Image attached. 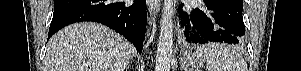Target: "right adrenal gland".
<instances>
[{
	"label": "right adrenal gland",
	"instance_id": "right-adrenal-gland-1",
	"mask_svg": "<svg viewBox=\"0 0 301 71\" xmlns=\"http://www.w3.org/2000/svg\"><path fill=\"white\" fill-rule=\"evenodd\" d=\"M129 68H130V66L128 65V66L126 67V71H129V70H130Z\"/></svg>",
	"mask_w": 301,
	"mask_h": 71
}]
</instances>
